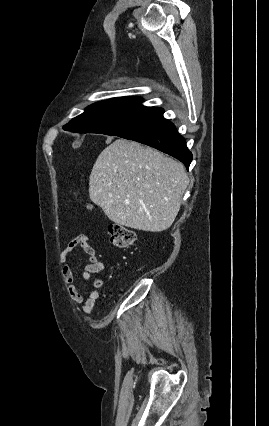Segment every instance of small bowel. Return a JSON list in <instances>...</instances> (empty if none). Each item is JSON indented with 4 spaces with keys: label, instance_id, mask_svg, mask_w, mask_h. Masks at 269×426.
Here are the masks:
<instances>
[{
    "label": "small bowel",
    "instance_id": "1",
    "mask_svg": "<svg viewBox=\"0 0 269 426\" xmlns=\"http://www.w3.org/2000/svg\"><path fill=\"white\" fill-rule=\"evenodd\" d=\"M81 249L87 259V265L84 267L82 276L90 284V290L84 292L74 284V274L69 263V256L76 250ZM60 263L64 283L67 286L71 299L80 305L83 313H90L96 301L99 298V289L103 286V281L93 279V274L99 273L104 269L103 263L98 259L94 247L91 245L86 235H80L72 239L61 253Z\"/></svg>",
    "mask_w": 269,
    "mask_h": 426
}]
</instances>
